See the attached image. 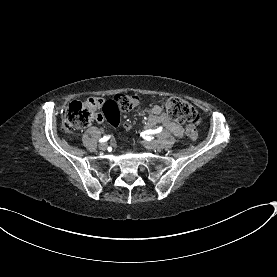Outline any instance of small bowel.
<instances>
[{"label": "small bowel", "mask_w": 277, "mask_h": 277, "mask_svg": "<svg viewBox=\"0 0 277 277\" xmlns=\"http://www.w3.org/2000/svg\"><path fill=\"white\" fill-rule=\"evenodd\" d=\"M148 124L153 126L156 124L163 125L166 129L172 132L177 137H182L184 134V129L179 124L172 121L168 115L163 111V107L160 105H155L152 108L147 110ZM126 128L129 129L130 126L126 125Z\"/></svg>", "instance_id": "obj_1"}]
</instances>
